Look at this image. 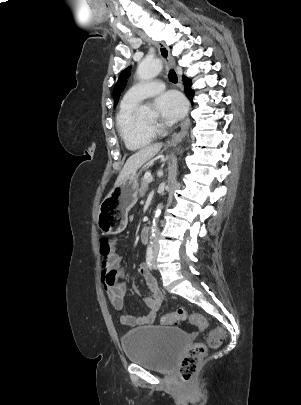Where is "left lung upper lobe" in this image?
<instances>
[{"instance_id": "5c2ea615", "label": "left lung upper lobe", "mask_w": 301, "mask_h": 405, "mask_svg": "<svg viewBox=\"0 0 301 405\" xmlns=\"http://www.w3.org/2000/svg\"><path fill=\"white\" fill-rule=\"evenodd\" d=\"M130 69H131V67H128L124 71H122V73L120 74V77L114 87V90H113L114 106H116V104L118 103L119 96L126 86L127 77L130 75V73H129Z\"/></svg>"}]
</instances>
